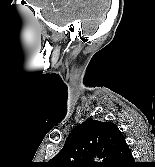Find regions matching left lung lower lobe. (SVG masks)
<instances>
[{
  "label": "left lung lower lobe",
  "instance_id": "1",
  "mask_svg": "<svg viewBox=\"0 0 155 167\" xmlns=\"http://www.w3.org/2000/svg\"><path fill=\"white\" fill-rule=\"evenodd\" d=\"M133 156L125 140L119 145L112 163L108 167H127L133 163Z\"/></svg>",
  "mask_w": 155,
  "mask_h": 167
}]
</instances>
